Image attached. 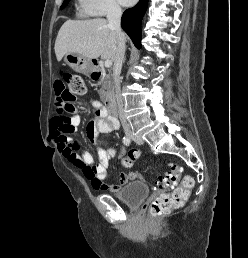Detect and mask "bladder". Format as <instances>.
<instances>
[{
  "label": "bladder",
  "mask_w": 248,
  "mask_h": 258,
  "mask_svg": "<svg viewBox=\"0 0 248 258\" xmlns=\"http://www.w3.org/2000/svg\"><path fill=\"white\" fill-rule=\"evenodd\" d=\"M114 195L129 208H137L149 195V188L143 182H133L124 186Z\"/></svg>",
  "instance_id": "31cf9c89"
}]
</instances>
